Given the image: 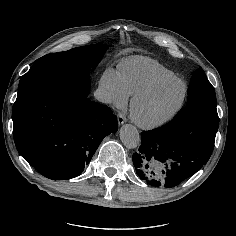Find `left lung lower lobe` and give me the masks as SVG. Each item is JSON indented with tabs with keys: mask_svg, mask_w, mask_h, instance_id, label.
Segmentation results:
<instances>
[{
	"mask_svg": "<svg viewBox=\"0 0 236 236\" xmlns=\"http://www.w3.org/2000/svg\"><path fill=\"white\" fill-rule=\"evenodd\" d=\"M219 126L216 105L192 103L168 124L141 133V146L133 154L138 176L152 186L174 187L209 160ZM172 161L171 169L153 171V163Z\"/></svg>",
	"mask_w": 236,
	"mask_h": 236,
	"instance_id": "1",
	"label": "left lung lower lobe"
}]
</instances>
